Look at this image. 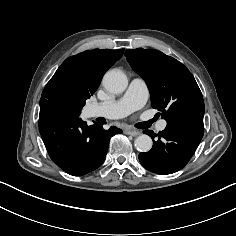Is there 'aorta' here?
<instances>
[{
	"label": "aorta",
	"instance_id": "1",
	"mask_svg": "<svg viewBox=\"0 0 236 236\" xmlns=\"http://www.w3.org/2000/svg\"><path fill=\"white\" fill-rule=\"evenodd\" d=\"M128 79L124 72L119 69L108 71L103 77V86L111 93L119 94L125 91ZM153 145L152 139L146 134L138 136L134 141L135 148L140 152H148Z\"/></svg>",
	"mask_w": 236,
	"mask_h": 236
}]
</instances>
